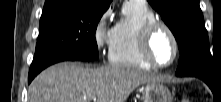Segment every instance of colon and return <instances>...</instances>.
<instances>
[{"instance_id": "1", "label": "colon", "mask_w": 221, "mask_h": 102, "mask_svg": "<svg viewBox=\"0 0 221 102\" xmlns=\"http://www.w3.org/2000/svg\"><path fill=\"white\" fill-rule=\"evenodd\" d=\"M183 102H189V100L185 99V100H183Z\"/></svg>"}]
</instances>
